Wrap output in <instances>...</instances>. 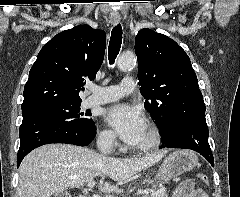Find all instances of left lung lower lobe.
Returning a JSON list of instances; mask_svg holds the SVG:
<instances>
[{
  "mask_svg": "<svg viewBox=\"0 0 240 197\" xmlns=\"http://www.w3.org/2000/svg\"><path fill=\"white\" fill-rule=\"evenodd\" d=\"M155 123L160 129L162 147L195 150L214 166L203 99L193 98L181 113L166 114Z\"/></svg>",
  "mask_w": 240,
  "mask_h": 197,
  "instance_id": "0a47b994",
  "label": "left lung lower lobe"
}]
</instances>
